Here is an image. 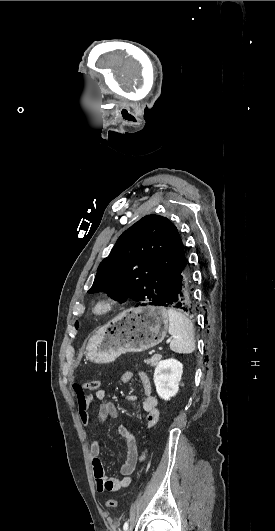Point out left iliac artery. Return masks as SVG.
Instances as JSON below:
<instances>
[{
    "label": "left iliac artery",
    "mask_w": 275,
    "mask_h": 531,
    "mask_svg": "<svg viewBox=\"0 0 275 531\" xmlns=\"http://www.w3.org/2000/svg\"><path fill=\"white\" fill-rule=\"evenodd\" d=\"M123 529H124V531H127V529H128V522H125V523H124V525H123Z\"/></svg>",
    "instance_id": "obj_1"
}]
</instances>
